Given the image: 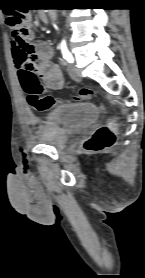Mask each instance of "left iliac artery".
Returning a JSON list of instances; mask_svg holds the SVG:
<instances>
[{
    "label": "left iliac artery",
    "instance_id": "left-iliac-artery-1",
    "mask_svg": "<svg viewBox=\"0 0 145 278\" xmlns=\"http://www.w3.org/2000/svg\"><path fill=\"white\" fill-rule=\"evenodd\" d=\"M61 51H62V54H63L64 59H65L67 62H69V63H73V62H74L73 56H72L71 53L68 51L67 46H66V43H65L64 40H63L62 43H61Z\"/></svg>",
    "mask_w": 145,
    "mask_h": 278
}]
</instances>
